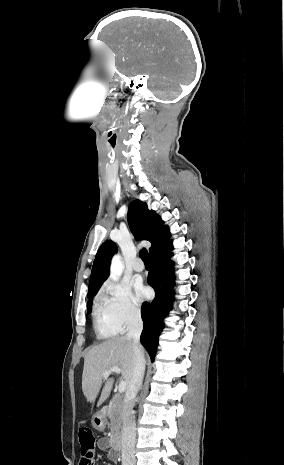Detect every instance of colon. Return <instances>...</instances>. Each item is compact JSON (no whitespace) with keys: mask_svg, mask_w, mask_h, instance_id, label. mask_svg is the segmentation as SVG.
I'll return each instance as SVG.
<instances>
[{"mask_svg":"<svg viewBox=\"0 0 284 465\" xmlns=\"http://www.w3.org/2000/svg\"><path fill=\"white\" fill-rule=\"evenodd\" d=\"M81 446V465H93L92 457L95 447V437L88 428H81L78 432Z\"/></svg>","mask_w":284,"mask_h":465,"instance_id":"colon-1","label":"colon"}]
</instances>
